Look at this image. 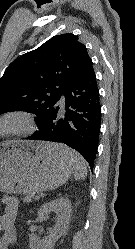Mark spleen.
I'll return each mask as SVG.
<instances>
[{"label":"spleen","mask_w":135,"mask_h":249,"mask_svg":"<svg viewBox=\"0 0 135 249\" xmlns=\"http://www.w3.org/2000/svg\"><path fill=\"white\" fill-rule=\"evenodd\" d=\"M58 149L60 150V152L64 156L70 158L74 162V164H75V174H74L75 180L85 179V177L87 176V164H86L85 160L83 159V157L65 145L60 144L58 146Z\"/></svg>","instance_id":"1"}]
</instances>
